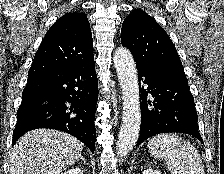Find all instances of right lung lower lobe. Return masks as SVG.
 Here are the masks:
<instances>
[{"mask_svg": "<svg viewBox=\"0 0 224 174\" xmlns=\"http://www.w3.org/2000/svg\"><path fill=\"white\" fill-rule=\"evenodd\" d=\"M98 81L94 60L28 78L17 111L14 145L27 131L61 130L95 151Z\"/></svg>", "mask_w": 224, "mask_h": 174, "instance_id": "obj_1", "label": "right lung lower lobe"}]
</instances>
